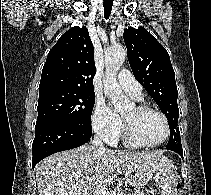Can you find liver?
<instances>
[{
  "label": "liver",
  "instance_id": "1",
  "mask_svg": "<svg viewBox=\"0 0 211 195\" xmlns=\"http://www.w3.org/2000/svg\"><path fill=\"white\" fill-rule=\"evenodd\" d=\"M161 158L168 160L160 151H103L89 144L57 152L35 167L38 194L95 195L98 182L106 187L123 171L130 183L132 172H148Z\"/></svg>",
  "mask_w": 211,
  "mask_h": 195
}]
</instances>
